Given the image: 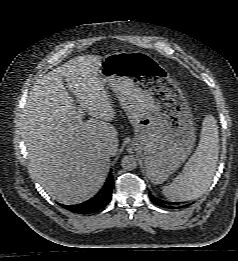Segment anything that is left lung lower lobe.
Returning <instances> with one entry per match:
<instances>
[{
  "instance_id": "obj_1",
  "label": "left lung lower lobe",
  "mask_w": 238,
  "mask_h": 261,
  "mask_svg": "<svg viewBox=\"0 0 238 261\" xmlns=\"http://www.w3.org/2000/svg\"><path fill=\"white\" fill-rule=\"evenodd\" d=\"M151 201L160 206V207H163V208H173V209H176V208H180V207H183V206H180V207H173V206H169V205H166V203H163V201L159 200V199H155L153 197H151Z\"/></svg>"
}]
</instances>
